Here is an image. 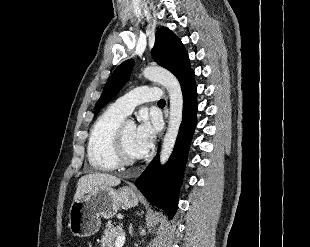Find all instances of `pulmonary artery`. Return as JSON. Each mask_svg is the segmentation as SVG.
<instances>
[{
  "mask_svg": "<svg viewBox=\"0 0 310 247\" xmlns=\"http://www.w3.org/2000/svg\"><path fill=\"white\" fill-rule=\"evenodd\" d=\"M162 91L157 87L140 86L118 98L113 107L123 115H129L133 109L143 103L160 100Z\"/></svg>",
  "mask_w": 310,
  "mask_h": 247,
  "instance_id": "e3ab8cb5",
  "label": "pulmonary artery"
}]
</instances>
